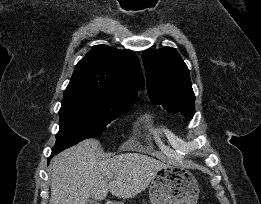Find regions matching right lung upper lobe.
Wrapping results in <instances>:
<instances>
[{"label":"right lung upper lobe","mask_w":261,"mask_h":204,"mask_svg":"<svg viewBox=\"0 0 261 204\" xmlns=\"http://www.w3.org/2000/svg\"><path fill=\"white\" fill-rule=\"evenodd\" d=\"M144 78L131 50L93 46L76 65L64 96L90 95L103 103L135 102Z\"/></svg>","instance_id":"cb5924a9"}]
</instances>
